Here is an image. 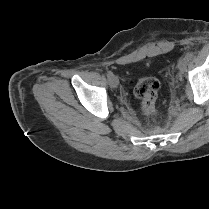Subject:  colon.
<instances>
[{
  "instance_id": "1",
  "label": "colon",
  "mask_w": 209,
  "mask_h": 209,
  "mask_svg": "<svg viewBox=\"0 0 209 209\" xmlns=\"http://www.w3.org/2000/svg\"><path fill=\"white\" fill-rule=\"evenodd\" d=\"M159 87V81L153 77L141 78L134 86V93L141 100V110L147 116H154L157 113Z\"/></svg>"
}]
</instances>
